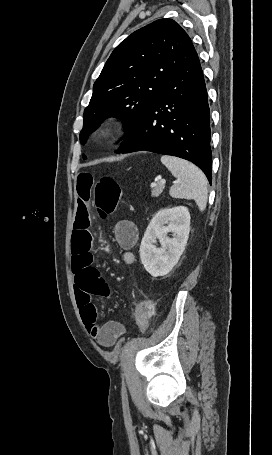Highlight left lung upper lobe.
Returning <instances> with one entry per match:
<instances>
[{
	"label": "left lung upper lobe",
	"instance_id": "5c2ea615",
	"mask_svg": "<svg viewBox=\"0 0 272 455\" xmlns=\"http://www.w3.org/2000/svg\"><path fill=\"white\" fill-rule=\"evenodd\" d=\"M196 57L190 37L172 19H159L133 32L114 49L94 83L83 114L81 143L112 116L123 119L127 135L167 82Z\"/></svg>",
	"mask_w": 272,
	"mask_h": 455
}]
</instances>
